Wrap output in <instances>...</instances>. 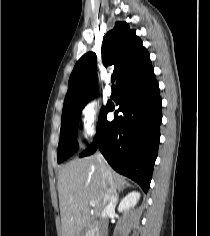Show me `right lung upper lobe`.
Instances as JSON below:
<instances>
[{"label": "right lung upper lobe", "mask_w": 210, "mask_h": 236, "mask_svg": "<svg viewBox=\"0 0 210 236\" xmlns=\"http://www.w3.org/2000/svg\"><path fill=\"white\" fill-rule=\"evenodd\" d=\"M101 52L104 65L115 67L117 85L151 62L142 41L126 22H116L115 27L105 34ZM96 73V54L88 52L78 60L71 73L63 112L82 107L96 95Z\"/></svg>", "instance_id": "cb5924a9"}]
</instances>
